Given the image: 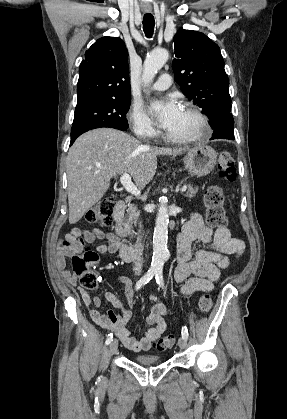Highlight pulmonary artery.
Masks as SVG:
<instances>
[{
    "label": "pulmonary artery",
    "mask_w": 287,
    "mask_h": 419,
    "mask_svg": "<svg viewBox=\"0 0 287 419\" xmlns=\"http://www.w3.org/2000/svg\"><path fill=\"white\" fill-rule=\"evenodd\" d=\"M172 83L171 75L168 73H163L159 80L152 85V89L156 91L166 90Z\"/></svg>",
    "instance_id": "1"
}]
</instances>
